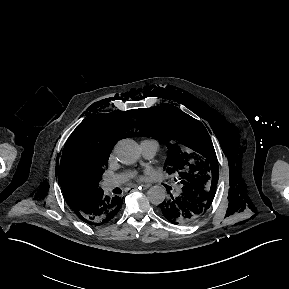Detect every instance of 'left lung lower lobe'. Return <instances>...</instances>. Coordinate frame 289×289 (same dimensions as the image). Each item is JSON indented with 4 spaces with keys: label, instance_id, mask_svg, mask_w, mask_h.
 <instances>
[{
    "label": "left lung lower lobe",
    "instance_id": "obj_1",
    "mask_svg": "<svg viewBox=\"0 0 289 289\" xmlns=\"http://www.w3.org/2000/svg\"><path fill=\"white\" fill-rule=\"evenodd\" d=\"M214 184L205 186L200 182L182 187L179 196L161 203L160 209L163 216L176 224H190L203 216L212 204L215 195Z\"/></svg>",
    "mask_w": 289,
    "mask_h": 289
}]
</instances>
